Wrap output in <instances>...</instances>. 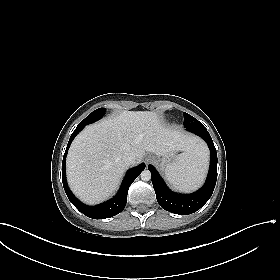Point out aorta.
I'll use <instances>...</instances> for the list:
<instances>
[{"instance_id": "762f6f07", "label": "aorta", "mask_w": 280, "mask_h": 280, "mask_svg": "<svg viewBox=\"0 0 280 280\" xmlns=\"http://www.w3.org/2000/svg\"><path fill=\"white\" fill-rule=\"evenodd\" d=\"M140 177L143 181H149L151 179V172L149 170H144L141 172Z\"/></svg>"}]
</instances>
